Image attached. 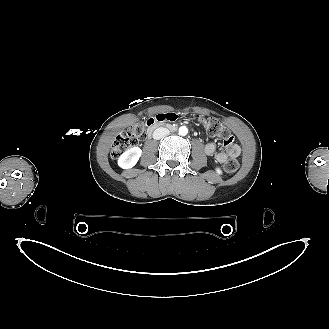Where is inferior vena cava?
<instances>
[{"mask_svg":"<svg viewBox=\"0 0 329 329\" xmlns=\"http://www.w3.org/2000/svg\"><path fill=\"white\" fill-rule=\"evenodd\" d=\"M169 134V130L164 127H159L153 132V138L159 140Z\"/></svg>","mask_w":329,"mask_h":329,"instance_id":"inferior-vena-cava-1","label":"inferior vena cava"}]
</instances>
